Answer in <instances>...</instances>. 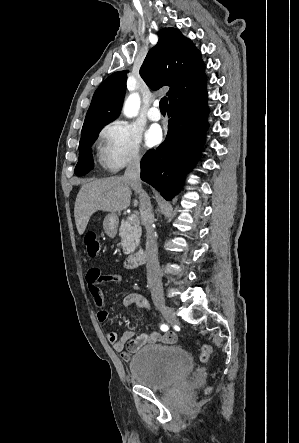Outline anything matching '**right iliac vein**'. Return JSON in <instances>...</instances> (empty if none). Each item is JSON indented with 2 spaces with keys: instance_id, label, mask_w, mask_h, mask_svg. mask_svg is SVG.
<instances>
[{
  "instance_id": "obj_1",
  "label": "right iliac vein",
  "mask_w": 299,
  "mask_h": 443,
  "mask_svg": "<svg viewBox=\"0 0 299 443\" xmlns=\"http://www.w3.org/2000/svg\"><path fill=\"white\" fill-rule=\"evenodd\" d=\"M156 307L162 313L163 317L171 324L178 323L175 311L166 305L163 301H158Z\"/></svg>"
}]
</instances>
